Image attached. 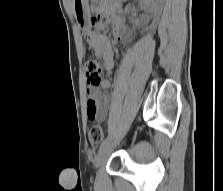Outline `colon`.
Wrapping results in <instances>:
<instances>
[{"instance_id": "5ec220e1", "label": "colon", "mask_w": 223, "mask_h": 191, "mask_svg": "<svg viewBox=\"0 0 223 191\" xmlns=\"http://www.w3.org/2000/svg\"><path fill=\"white\" fill-rule=\"evenodd\" d=\"M85 69H86V77L89 84L98 86L101 81L102 77L100 74V65L98 60L96 59H88L85 62ZM104 138V130L102 126L96 124L93 125L89 131V139L93 146L99 145Z\"/></svg>"}]
</instances>
